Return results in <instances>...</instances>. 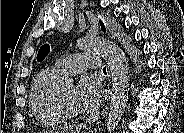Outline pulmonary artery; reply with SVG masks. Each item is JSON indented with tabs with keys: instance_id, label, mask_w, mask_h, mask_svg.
<instances>
[{
	"instance_id": "obj_1",
	"label": "pulmonary artery",
	"mask_w": 184,
	"mask_h": 133,
	"mask_svg": "<svg viewBox=\"0 0 184 133\" xmlns=\"http://www.w3.org/2000/svg\"><path fill=\"white\" fill-rule=\"evenodd\" d=\"M99 57L91 54H74L57 61L55 67L63 75L76 74L85 69L99 70Z\"/></svg>"
}]
</instances>
